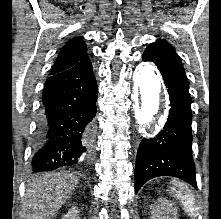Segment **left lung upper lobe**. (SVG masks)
<instances>
[{"mask_svg": "<svg viewBox=\"0 0 221 219\" xmlns=\"http://www.w3.org/2000/svg\"><path fill=\"white\" fill-rule=\"evenodd\" d=\"M149 46L163 47V48L174 50L173 47L164 40H158L155 43H151Z\"/></svg>", "mask_w": 221, "mask_h": 219, "instance_id": "obj_1", "label": "left lung upper lobe"}]
</instances>
